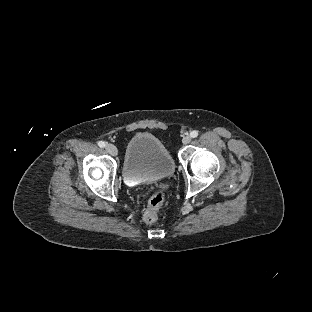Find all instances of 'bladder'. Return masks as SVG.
I'll return each mask as SVG.
<instances>
[{
    "instance_id": "31cf9c89",
    "label": "bladder",
    "mask_w": 312,
    "mask_h": 312,
    "mask_svg": "<svg viewBox=\"0 0 312 312\" xmlns=\"http://www.w3.org/2000/svg\"><path fill=\"white\" fill-rule=\"evenodd\" d=\"M174 167L172 154L154 135L139 133L129 140L124 161L127 179L159 180L170 177Z\"/></svg>"
}]
</instances>
